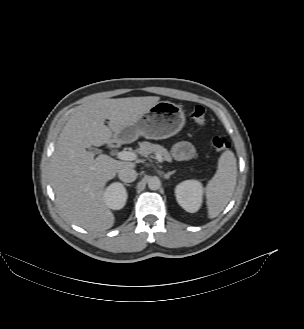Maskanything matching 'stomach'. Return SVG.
Masks as SVG:
<instances>
[{
	"label": "stomach",
	"instance_id": "obj_1",
	"mask_svg": "<svg viewBox=\"0 0 304 329\" xmlns=\"http://www.w3.org/2000/svg\"><path fill=\"white\" fill-rule=\"evenodd\" d=\"M185 124L181 106L169 101H160L133 123L114 134L118 143H130L139 136L147 139H166L177 134Z\"/></svg>",
	"mask_w": 304,
	"mask_h": 329
}]
</instances>
